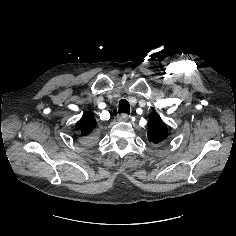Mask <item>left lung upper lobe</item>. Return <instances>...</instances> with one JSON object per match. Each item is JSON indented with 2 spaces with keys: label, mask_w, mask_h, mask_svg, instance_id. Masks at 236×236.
Listing matches in <instances>:
<instances>
[{
  "label": "left lung upper lobe",
  "mask_w": 236,
  "mask_h": 236,
  "mask_svg": "<svg viewBox=\"0 0 236 236\" xmlns=\"http://www.w3.org/2000/svg\"><path fill=\"white\" fill-rule=\"evenodd\" d=\"M168 136L167 126L157 113H152L148 124V139L153 143H159Z\"/></svg>",
  "instance_id": "5c2ea615"
}]
</instances>
